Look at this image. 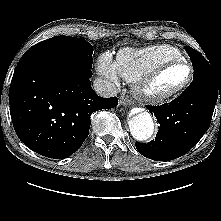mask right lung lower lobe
<instances>
[{
	"instance_id": "98d812e1",
	"label": "right lung lower lobe",
	"mask_w": 221,
	"mask_h": 221,
	"mask_svg": "<svg viewBox=\"0 0 221 221\" xmlns=\"http://www.w3.org/2000/svg\"><path fill=\"white\" fill-rule=\"evenodd\" d=\"M89 68L38 48L18 62L9 90L10 114L19 139L43 156L64 159L87 138L90 116L117 106L91 87Z\"/></svg>"
}]
</instances>
